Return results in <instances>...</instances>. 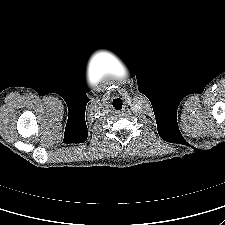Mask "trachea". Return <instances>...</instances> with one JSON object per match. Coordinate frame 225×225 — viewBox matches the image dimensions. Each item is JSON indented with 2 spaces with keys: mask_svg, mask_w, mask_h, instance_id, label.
<instances>
[{
  "mask_svg": "<svg viewBox=\"0 0 225 225\" xmlns=\"http://www.w3.org/2000/svg\"><path fill=\"white\" fill-rule=\"evenodd\" d=\"M121 108H122V103H121ZM121 108H120V109H121ZM117 110H119V108H118Z\"/></svg>",
  "mask_w": 225,
  "mask_h": 225,
  "instance_id": "3493384b",
  "label": "trachea"
}]
</instances>
